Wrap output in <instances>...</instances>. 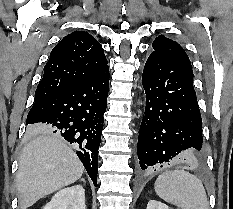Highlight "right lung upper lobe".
I'll list each match as a JSON object with an SVG mask.
<instances>
[{
  "mask_svg": "<svg viewBox=\"0 0 233 209\" xmlns=\"http://www.w3.org/2000/svg\"><path fill=\"white\" fill-rule=\"evenodd\" d=\"M107 67L101 44L87 32H72L51 51L35 101L80 85Z\"/></svg>",
  "mask_w": 233,
  "mask_h": 209,
  "instance_id": "obj_1",
  "label": "right lung upper lobe"
}]
</instances>
